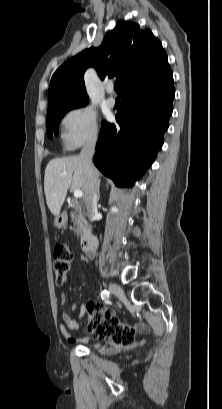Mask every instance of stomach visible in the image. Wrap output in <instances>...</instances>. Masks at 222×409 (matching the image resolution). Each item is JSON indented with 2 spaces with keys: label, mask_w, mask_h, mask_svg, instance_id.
Listing matches in <instances>:
<instances>
[{
  "label": "stomach",
  "mask_w": 222,
  "mask_h": 409,
  "mask_svg": "<svg viewBox=\"0 0 222 409\" xmlns=\"http://www.w3.org/2000/svg\"><path fill=\"white\" fill-rule=\"evenodd\" d=\"M67 222H68L67 213H66V212H62V213H59V215H57V216L55 217L54 226H55L56 228L61 229V228H64V227L67 225Z\"/></svg>",
  "instance_id": "stomach-1"
}]
</instances>
